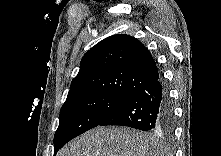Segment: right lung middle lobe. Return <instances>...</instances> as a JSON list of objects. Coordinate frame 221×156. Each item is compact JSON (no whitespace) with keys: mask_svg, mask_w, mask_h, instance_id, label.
I'll return each mask as SVG.
<instances>
[{"mask_svg":"<svg viewBox=\"0 0 221 156\" xmlns=\"http://www.w3.org/2000/svg\"><path fill=\"white\" fill-rule=\"evenodd\" d=\"M129 97L93 94L66 101L54 137V154L68 141L98 126Z\"/></svg>","mask_w":221,"mask_h":156,"instance_id":"1","label":"right lung middle lobe"}]
</instances>
